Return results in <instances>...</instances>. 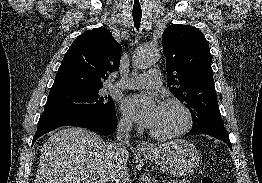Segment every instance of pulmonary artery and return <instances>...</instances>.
<instances>
[{"instance_id":"obj_1","label":"pulmonary artery","mask_w":262,"mask_h":183,"mask_svg":"<svg viewBox=\"0 0 262 183\" xmlns=\"http://www.w3.org/2000/svg\"><path fill=\"white\" fill-rule=\"evenodd\" d=\"M162 84L161 75L158 69H152L148 72L130 77L127 79H122L116 83L119 88H158Z\"/></svg>"}]
</instances>
